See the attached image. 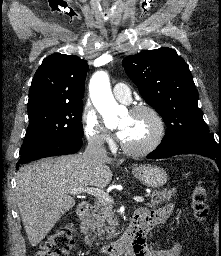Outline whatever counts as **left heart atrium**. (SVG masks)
Wrapping results in <instances>:
<instances>
[{"label":"left heart atrium","instance_id":"left-heart-atrium-1","mask_svg":"<svg viewBox=\"0 0 221 256\" xmlns=\"http://www.w3.org/2000/svg\"><path fill=\"white\" fill-rule=\"evenodd\" d=\"M127 131L125 129H120V131L117 133V136L121 139L124 140L126 137Z\"/></svg>","mask_w":221,"mask_h":256}]
</instances>
